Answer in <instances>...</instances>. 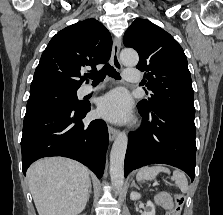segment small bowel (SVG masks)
<instances>
[{
    "mask_svg": "<svg viewBox=\"0 0 223 215\" xmlns=\"http://www.w3.org/2000/svg\"><path fill=\"white\" fill-rule=\"evenodd\" d=\"M156 202L165 210H171L173 208V201L170 195L166 192H161L156 196Z\"/></svg>",
    "mask_w": 223,
    "mask_h": 215,
    "instance_id": "1",
    "label": "small bowel"
}]
</instances>
